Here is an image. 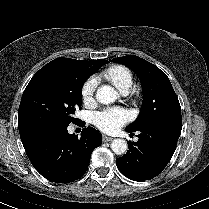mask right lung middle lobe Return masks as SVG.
<instances>
[{
  "label": "right lung middle lobe",
  "mask_w": 209,
  "mask_h": 209,
  "mask_svg": "<svg viewBox=\"0 0 209 209\" xmlns=\"http://www.w3.org/2000/svg\"><path fill=\"white\" fill-rule=\"evenodd\" d=\"M95 71L85 61L57 58L42 67L24 90L18 111L21 139L67 128L81 107L84 82Z\"/></svg>",
  "instance_id": "right-lung-middle-lobe-1"
}]
</instances>
